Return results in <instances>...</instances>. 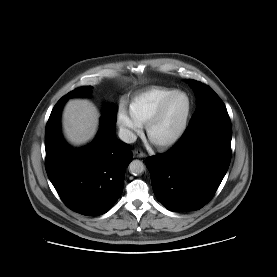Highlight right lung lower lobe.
I'll use <instances>...</instances> for the list:
<instances>
[{
    "label": "right lung lower lobe",
    "mask_w": 277,
    "mask_h": 277,
    "mask_svg": "<svg viewBox=\"0 0 277 277\" xmlns=\"http://www.w3.org/2000/svg\"><path fill=\"white\" fill-rule=\"evenodd\" d=\"M64 103L57 102L46 125L45 166L57 193L71 210L87 216L106 213L118 200L130 147L116 138L115 124L102 117L95 140L80 149L70 147L60 131Z\"/></svg>",
    "instance_id": "obj_1"
}]
</instances>
